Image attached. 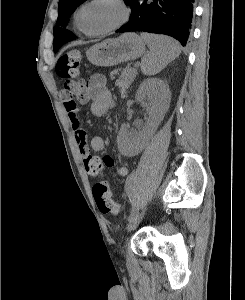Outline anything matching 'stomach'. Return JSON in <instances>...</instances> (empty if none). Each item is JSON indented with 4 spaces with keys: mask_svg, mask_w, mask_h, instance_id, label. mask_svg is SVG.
<instances>
[{
    "mask_svg": "<svg viewBox=\"0 0 245 300\" xmlns=\"http://www.w3.org/2000/svg\"><path fill=\"white\" fill-rule=\"evenodd\" d=\"M145 51V41L135 33H125L92 46L86 53L90 63L96 66H114L134 60Z\"/></svg>",
    "mask_w": 245,
    "mask_h": 300,
    "instance_id": "0dacf381",
    "label": "stomach"
}]
</instances>
